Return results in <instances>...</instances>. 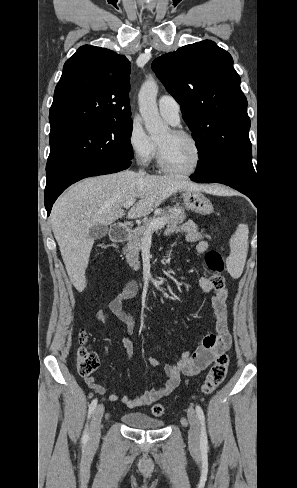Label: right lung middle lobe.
Here are the masks:
<instances>
[{"label":"right lung middle lobe","mask_w":297,"mask_h":488,"mask_svg":"<svg viewBox=\"0 0 297 488\" xmlns=\"http://www.w3.org/2000/svg\"><path fill=\"white\" fill-rule=\"evenodd\" d=\"M132 124L131 119L89 123L50 134L46 187L90 164L131 161Z\"/></svg>","instance_id":"dd1d6c3e"}]
</instances>
